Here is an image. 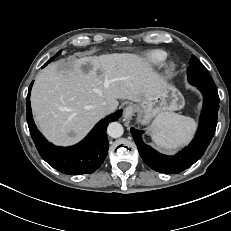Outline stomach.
<instances>
[{
	"instance_id": "0dacf381",
	"label": "stomach",
	"mask_w": 231,
	"mask_h": 231,
	"mask_svg": "<svg viewBox=\"0 0 231 231\" xmlns=\"http://www.w3.org/2000/svg\"><path fill=\"white\" fill-rule=\"evenodd\" d=\"M183 105L184 99L181 93L174 86L165 84L160 93L137 105L139 120L141 123H146L157 115L178 110Z\"/></svg>"
}]
</instances>
